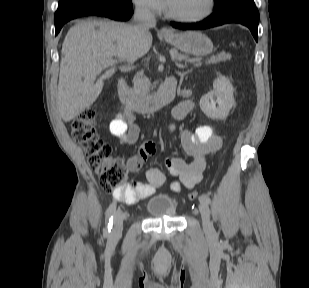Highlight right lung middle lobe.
Here are the masks:
<instances>
[{"instance_id":"dd1d6c3e","label":"right lung middle lobe","mask_w":309,"mask_h":288,"mask_svg":"<svg viewBox=\"0 0 309 288\" xmlns=\"http://www.w3.org/2000/svg\"><path fill=\"white\" fill-rule=\"evenodd\" d=\"M89 1H94V0H60L59 5H58V9L55 12V17L57 18L63 14H65L66 12H68L69 10L84 4L86 2ZM110 1H118V2H131V0H110Z\"/></svg>"}]
</instances>
